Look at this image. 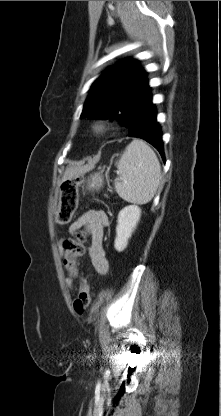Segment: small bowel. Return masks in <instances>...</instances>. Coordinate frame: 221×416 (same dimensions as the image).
<instances>
[{
    "instance_id": "obj_1",
    "label": "small bowel",
    "mask_w": 221,
    "mask_h": 416,
    "mask_svg": "<svg viewBox=\"0 0 221 416\" xmlns=\"http://www.w3.org/2000/svg\"><path fill=\"white\" fill-rule=\"evenodd\" d=\"M109 223L108 215L103 211L90 210L81 214L74 220L69 228L70 234L78 230H85L90 238L89 257L95 271L105 275L109 269V263L103 246L104 229ZM63 258L67 257V251L63 247V242L59 246ZM67 285L72 289V280L67 279Z\"/></svg>"
}]
</instances>
